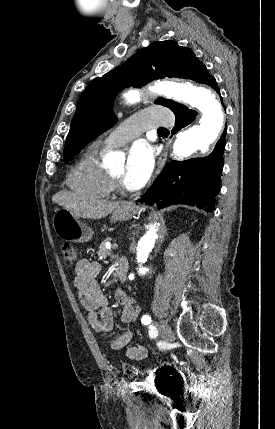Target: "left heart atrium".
I'll return each instance as SVG.
<instances>
[{"label": "left heart atrium", "instance_id": "left-heart-atrium-1", "mask_svg": "<svg viewBox=\"0 0 275 429\" xmlns=\"http://www.w3.org/2000/svg\"><path fill=\"white\" fill-rule=\"evenodd\" d=\"M153 161V150L147 142L134 143L127 156L122 178L123 185L129 190L141 188L150 176Z\"/></svg>", "mask_w": 275, "mask_h": 429}]
</instances>
